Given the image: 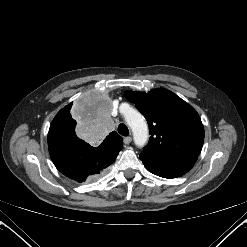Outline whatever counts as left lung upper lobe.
I'll list each match as a JSON object with an SVG mask.
<instances>
[{"instance_id":"5c2ea615","label":"left lung upper lobe","mask_w":247,"mask_h":247,"mask_svg":"<svg viewBox=\"0 0 247 247\" xmlns=\"http://www.w3.org/2000/svg\"><path fill=\"white\" fill-rule=\"evenodd\" d=\"M146 118L150 139L144 152L165 157L198 156L204 141V128L193 107L167 89L148 93L126 91Z\"/></svg>"}]
</instances>
